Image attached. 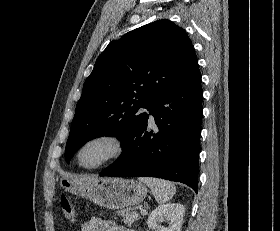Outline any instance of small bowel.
I'll return each mask as SVG.
<instances>
[{
  "label": "small bowel",
  "mask_w": 280,
  "mask_h": 231,
  "mask_svg": "<svg viewBox=\"0 0 280 231\" xmlns=\"http://www.w3.org/2000/svg\"><path fill=\"white\" fill-rule=\"evenodd\" d=\"M80 231H128L124 226L113 220L93 217L80 226Z\"/></svg>",
  "instance_id": "1"
}]
</instances>
